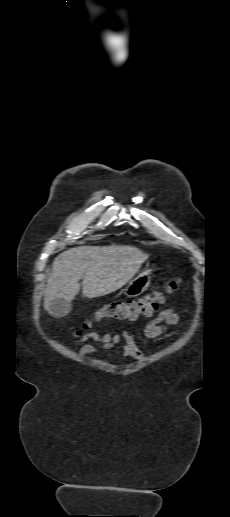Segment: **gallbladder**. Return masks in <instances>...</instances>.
<instances>
[{"label": "gallbladder", "instance_id": "gallbladder-1", "mask_svg": "<svg viewBox=\"0 0 230 517\" xmlns=\"http://www.w3.org/2000/svg\"><path fill=\"white\" fill-rule=\"evenodd\" d=\"M71 311V304L64 299L57 298L51 302L49 313L55 317H63Z\"/></svg>", "mask_w": 230, "mask_h": 517}]
</instances>
